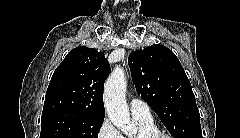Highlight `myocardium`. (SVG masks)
<instances>
[{"label": "myocardium", "mask_w": 240, "mask_h": 138, "mask_svg": "<svg viewBox=\"0 0 240 138\" xmlns=\"http://www.w3.org/2000/svg\"><path fill=\"white\" fill-rule=\"evenodd\" d=\"M139 138H166V136L159 130H152L140 134Z\"/></svg>", "instance_id": "f54148a6"}]
</instances>
